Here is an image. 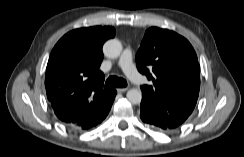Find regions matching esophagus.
Listing matches in <instances>:
<instances>
[{
  "label": "esophagus",
  "mask_w": 244,
  "mask_h": 157,
  "mask_svg": "<svg viewBox=\"0 0 244 157\" xmlns=\"http://www.w3.org/2000/svg\"><path fill=\"white\" fill-rule=\"evenodd\" d=\"M127 90H128L127 87H125V88H117V92L118 93H123V92H126Z\"/></svg>",
  "instance_id": "1"
}]
</instances>
